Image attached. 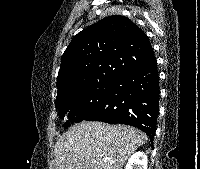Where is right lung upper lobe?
<instances>
[{
    "instance_id": "1",
    "label": "right lung upper lobe",
    "mask_w": 200,
    "mask_h": 169,
    "mask_svg": "<svg viewBox=\"0 0 200 169\" xmlns=\"http://www.w3.org/2000/svg\"><path fill=\"white\" fill-rule=\"evenodd\" d=\"M155 62L151 43L136 24L120 15L106 17L79 32L65 50L56 100Z\"/></svg>"
}]
</instances>
